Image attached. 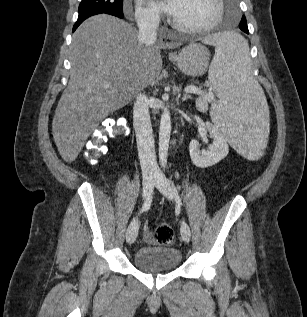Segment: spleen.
<instances>
[{"mask_svg":"<svg viewBox=\"0 0 307 317\" xmlns=\"http://www.w3.org/2000/svg\"><path fill=\"white\" fill-rule=\"evenodd\" d=\"M202 44L215 47L208 78L219 101L212 106L216 128L239 150L242 160H261L267 148L271 122H267L266 92L250 73L248 44L234 29L207 33Z\"/></svg>","mask_w":307,"mask_h":317,"instance_id":"spleen-1","label":"spleen"}]
</instances>
